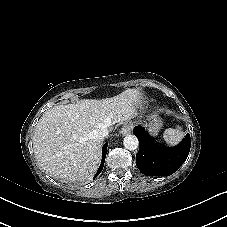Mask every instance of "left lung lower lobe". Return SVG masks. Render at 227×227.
I'll list each match as a JSON object with an SVG mask.
<instances>
[{"instance_id":"0a47b994","label":"left lung lower lobe","mask_w":227,"mask_h":227,"mask_svg":"<svg viewBox=\"0 0 227 227\" xmlns=\"http://www.w3.org/2000/svg\"><path fill=\"white\" fill-rule=\"evenodd\" d=\"M133 133L140 143L136 165L146 176H169L176 172L188 157L191 146L189 134L177 146L164 147L157 144L140 126L135 127Z\"/></svg>"}]
</instances>
